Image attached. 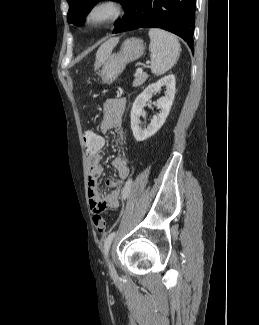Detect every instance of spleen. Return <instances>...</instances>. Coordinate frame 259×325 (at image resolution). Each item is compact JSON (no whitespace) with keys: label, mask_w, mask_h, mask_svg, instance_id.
Segmentation results:
<instances>
[{"label":"spleen","mask_w":259,"mask_h":325,"mask_svg":"<svg viewBox=\"0 0 259 325\" xmlns=\"http://www.w3.org/2000/svg\"><path fill=\"white\" fill-rule=\"evenodd\" d=\"M151 71L162 75L177 62L181 47L178 39L171 33L158 28L149 30Z\"/></svg>","instance_id":"spleen-1"}]
</instances>
